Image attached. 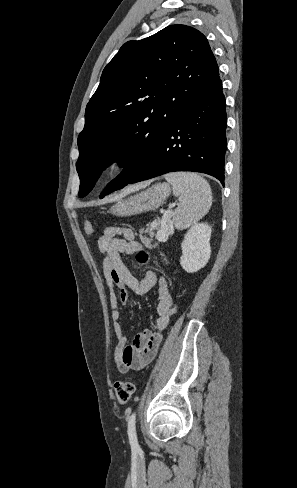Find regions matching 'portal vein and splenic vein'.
<instances>
[{"instance_id":"obj_1","label":"portal vein and splenic vein","mask_w":297,"mask_h":488,"mask_svg":"<svg viewBox=\"0 0 297 488\" xmlns=\"http://www.w3.org/2000/svg\"><path fill=\"white\" fill-rule=\"evenodd\" d=\"M171 208H172V206L169 207V210L168 211H163V220H164L163 227L166 228V229H168L167 222H168V220L172 216V210H170Z\"/></svg>"}]
</instances>
